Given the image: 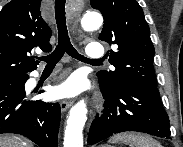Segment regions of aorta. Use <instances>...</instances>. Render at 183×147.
Segmentation results:
<instances>
[{
	"mask_svg": "<svg viewBox=\"0 0 183 147\" xmlns=\"http://www.w3.org/2000/svg\"><path fill=\"white\" fill-rule=\"evenodd\" d=\"M103 18L98 12H87L80 17L84 30L93 31L102 26ZM87 107L84 100L75 104L68 116L64 136V147H83V127L86 122Z\"/></svg>",
	"mask_w": 183,
	"mask_h": 147,
	"instance_id": "obj_1",
	"label": "aorta"
}]
</instances>
